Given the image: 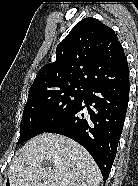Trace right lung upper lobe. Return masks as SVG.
Wrapping results in <instances>:
<instances>
[{
  "mask_svg": "<svg viewBox=\"0 0 138 186\" xmlns=\"http://www.w3.org/2000/svg\"><path fill=\"white\" fill-rule=\"evenodd\" d=\"M128 79L127 60L114 30L95 18H85L57 46L55 62L39 70L29 94L69 85L119 84Z\"/></svg>",
  "mask_w": 138,
  "mask_h": 186,
  "instance_id": "obj_1",
  "label": "right lung upper lobe"
}]
</instances>
